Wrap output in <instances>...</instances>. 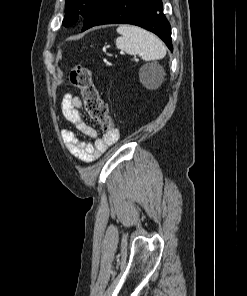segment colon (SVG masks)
I'll return each instance as SVG.
<instances>
[{
    "label": "colon",
    "instance_id": "colon-1",
    "mask_svg": "<svg viewBox=\"0 0 247 296\" xmlns=\"http://www.w3.org/2000/svg\"><path fill=\"white\" fill-rule=\"evenodd\" d=\"M69 79L71 84L81 91L84 107L89 117L97 121L103 130L111 131L113 121L107 104L102 100L92 81L91 71L85 66L76 65L71 69Z\"/></svg>",
    "mask_w": 247,
    "mask_h": 296
}]
</instances>
